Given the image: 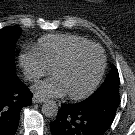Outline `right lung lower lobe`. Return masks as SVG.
Wrapping results in <instances>:
<instances>
[{
	"instance_id": "obj_1",
	"label": "right lung lower lobe",
	"mask_w": 135,
	"mask_h": 135,
	"mask_svg": "<svg viewBox=\"0 0 135 135\" xmlns=\"http://www.w3.org/2000/svg\"><path fill=\"white\" fill-rule=\"evenodd\" d=\"M32 93L15 73L0 74V135H14L20 111L31 105Z\"/></svg>"
}]
</instances>
